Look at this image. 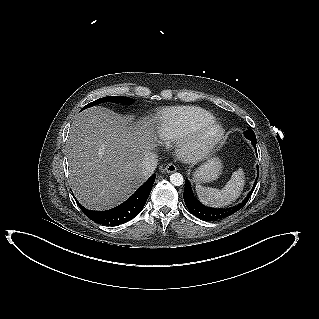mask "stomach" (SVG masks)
<instances>
[{
	"label": "stomach",
	"mask_w": 319,
	"mask_h": 319,
	"mask_svg": "<svg viewBox=\"0 0 319 319\" xmlns=\"http://www.w3.org/2000/svg\"><path fill=\"white\" fill-rule=\"evenodd\" d=\"M222 171V163L218 158H211L202 164L195 172L193 180L196 183L216 180Z\"/></svg>",
	"instance_id": "1"
}]
</instances>
